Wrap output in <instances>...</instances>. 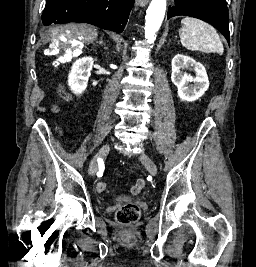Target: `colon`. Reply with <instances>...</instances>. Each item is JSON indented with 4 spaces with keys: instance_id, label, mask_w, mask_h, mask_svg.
Segmentation results:
<instances>
[{
    "instance_id": "5ec220e1",
    "label": "colon",
    "mask_w": 256,
    "mask_h": 267,
    "mask_svg": "<svg viewBox=\"0 0 256 267\" xmlns=\"http://www.w3.org/2000/svg\"><path fill=\"white\" fill-rule=\"evenodd\" d=\"M145 181L139 178L134 185L132 186V193L139 194L145 188ZM108 184L105 182H100L97 185V190L100 193L107 192ZM140 214V209L135 204H126L123 205L117 211V220L116 223L119 224L120 228H131L132 224L138 223V217Z\"/></svg>"
}]
</instances>
